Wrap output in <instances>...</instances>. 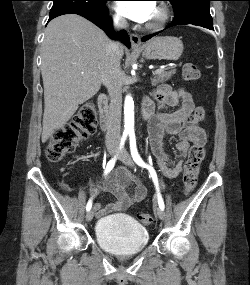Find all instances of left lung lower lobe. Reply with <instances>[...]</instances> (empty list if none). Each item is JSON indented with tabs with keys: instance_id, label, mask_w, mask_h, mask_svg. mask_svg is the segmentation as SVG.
<instances>
[{
	"instance_id": "1",
	"label": "left lung lower lobe",
	"mask_w": 250,
	"mask_h": 285,
	"mask_svg": "<svg viewBox=\"0 0 250 285\" xmlns=\"http://www.w3.org/2000/svg\"><path fill=\"white\" fill-rule=\"evenodd\" d=\"M187 24L202 26L204 28L214 30L212 20H207V19H192V20H188L185 22H172L168 27H172V26H176V25H187ZM158 33L148 35V36H144L142 38V41L145 42L148 39L152 38L153 36L157 35Z\"/></svg>"
}]
</instances>
